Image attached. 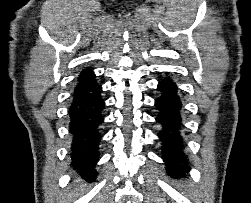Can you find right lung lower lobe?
Returning a JSON list of instances; mask_svg holds the SVG:
<instances>
[{
	"mask_svg": "<svg viewBox=\"0 0 251 203\" xmlns=\"http://www.w3.org/2000/svg\"><path fill=\"white\" fill-rule=\"evenodd\" d=\"M102 87L96 82L90 69L83 70L77 80L68 110L69 134L71 136L70 157L79 164L80 171L94 179L95 166L99 160L100 126L104 121Z\"/></svg>",
	"mask_w": 251,
	"mask_h": 203,
	"instance_id": "obj_1",
	"label": "right lung lower lobe"
}]
</instances>
